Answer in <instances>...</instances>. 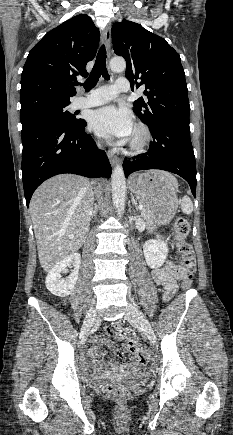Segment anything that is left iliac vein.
<instances>
[{"mask_svg": "<svg viewBox=\"0 0 233 435\" xmlns=\"http://www.w3.org/2000/svg\"><path fill=\"white\" fill-rule=\"evenodd\" d=\"M127 321L131 323H136L143 331L150 343H154L155 334L154 331L145 317V315L140 311V309L132 304L127 307V312L125 315Z\"/></svg>", "mask_w": 233, "mask_h": 435, "instance_id": "obj_1", "label": "left iliac vein"}]
</instances>
